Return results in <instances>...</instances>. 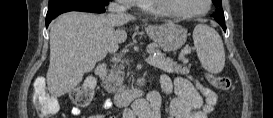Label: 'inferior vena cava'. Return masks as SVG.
Returning <instances> with one entry per match:
<instances>
[{
    "label": "inferior vena cava",
    "instance_id": "inferior-vena-cava-1",
    "mask_svg": "<svg viewBox=\"0 0 273 118\" xmlns=\"http://www.w3.org/2000/svg\"><path fill=\"white\" fill-rule=\"evenodd\" d=\"M109 11L111 12H115L117 14L123 13L125 10L123 7H121L120 5H118L117 3H111L109 5Z\"/></svg>",
    "mask_w": 273,
    "mask_h": 118
}]
</instances>
